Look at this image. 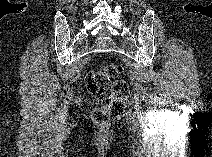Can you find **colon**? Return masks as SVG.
<instances>
[{"mask_svg": "<svg viewBox=\"0 0 212 157\" xmlns=\"http://www.w3.org/2000/svg\"><path fill=\"white\" fill-rule=\"evenodd\" d=\"M120 72L119 66L109 64L87 75L88 92L97 99L108 101L105 108L93 111V119L97 123L105 124L110 116H119L123 112L128 85L124 80L116 79Z\"/></svg>", "mask_w": 212, "mask_h": 157, "instance_id": "colon-1", "label": "colon"}]
</instances>
